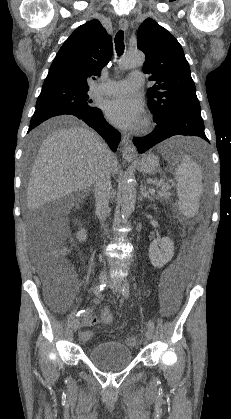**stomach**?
<instances>
[{"instance_id": "stomach-1", "label": "stomach", "mask_w": 231, "mask_h": 419, "mask_svg": "<svg viewBox=\"0 0 231 419\" xmlns=\"http://www.w3.org/2000/svg\"><path fill=\"white\" fill-rule=\"evenodd\" d=\"M134 163L138 170L144 174L153 175L159 171V158L150 152L143 154Z\"/></svg>"}]
</instances>
